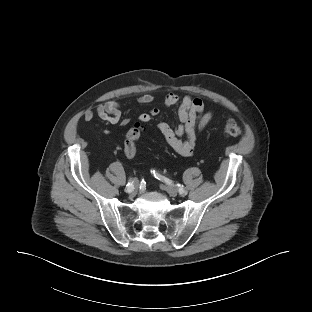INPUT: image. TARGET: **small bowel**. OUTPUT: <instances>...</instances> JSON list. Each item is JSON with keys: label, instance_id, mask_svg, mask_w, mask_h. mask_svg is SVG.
<instances>
[{"label": "small bowel", "instance_id": "1", "mask_svg": "<svg viewBox=\"0 0 312 312\" xmlns=\"http://www.w3.org/2000/svg\"><path fill=\"white\" fill-rule=\"evenodd\" d=\"M154 101L152 94H143L138 97L137 102L141 105H149ZM164 105L168 108H177L179 124L172 128L169 124L161 122L158 130L164 137L170 148L181 156H190L196 148L200 132L207 126L212 118L210 112L205 111V102L198 97L185 96L181 100L175 93L169 92L164 97ZM97 116L109 123L119 124L126 127L130 123L129 118H122V105L116 100H109L96 107ZM160 109L151 107L141 113L138 120L147 123L158 117ZM94 112L86 110L83 119L92 120ZM185 137V139H182Z\"/></svg>", "mask_w": 312, "mask_h": 312}]
</instances>
